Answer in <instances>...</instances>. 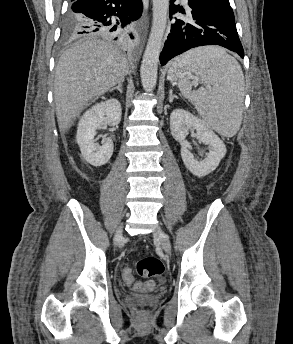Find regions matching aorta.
<instances>
[{
	"mask_svg": "<svg viewBox=\"0 0 293 344\" xmlns=\"http://www.w3.org/2000/svg\"><path fill=\"white\" fill-rule=\"evenodd\" d=\"M152 1V28L140 67L141 82L146 92H152L156 86L158 63L167 26L170 0Z\"/></svg>",
	"mask_w": 293,
	"mask_h": 344,
	"instance_id": "obj_1",
	"label": "aorta"
}]
</instances>
